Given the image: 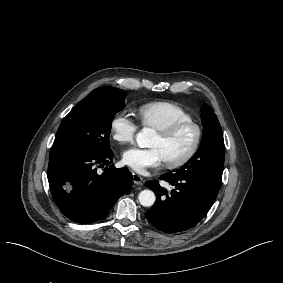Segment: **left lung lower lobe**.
Returning a JSON list of instances; mask_svg holds the SVG:
<instances>
[{"mask_svg": "<svg viewBox=\"0 0 283 283\" xmlns=\"http://www.w3.org/2000/svg\"><path fill=\"white\" fill-rule=\"evenodd\" d=\"M173 186L168 192L159 181L145 185L156 194V203L145 213L148 221L158 230L176 233L196 225L209 211L220 188L205 177L165 173L160 178Z\"/></svg>", "mask_w": 283, "mask_h": 283, "instance_id": "obj_1", "label": "left lung lower lobe"}]
</instances>
